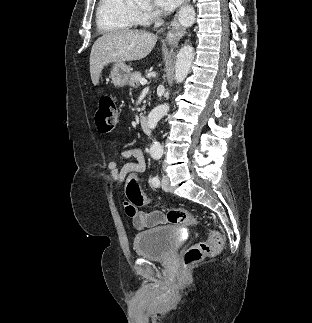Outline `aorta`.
Listing matches in <instances>:
<instances>
[{"label": "aorta", "mask_w": 312, "mask_h": 323, "mask_svg": "<svg viewBox=\"0 0 312 323\" xmlns=\"http://www.w3.org/2000/svg\"><path fill=\"white\" fill-rule=\"evenodd\" d=\"M194 56V48H192V46H183V48H181L175 64L176 84H181V82H184L186 76H188ZM167 112H169L168 104H162V106H157V108H154V110L148 114V128H150V130H155L159 120H161V118H163ZM150 152L162 154L163 148L159 142H154L150 148Z\"/></svg>", "instance_id": "aorta-1"}]
</instances>
